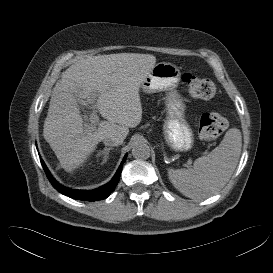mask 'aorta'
Instances as JSON below:
<instances>
[{"mask_svg": "<svg viewBox=\"0 0 273 273\" xmlns=\"http://www.w3.org/2000/svg\"><path fill=\"white\" fill-rule=\"evenodd\" d=\"M132 155L135 159H148L150 157V148L145 143H136L132 148Z\"/></svg>", "mask_w": 273, "mask_h": 273, "instance_id": "aorta-1", "label": "aorta"}]
</instances>
